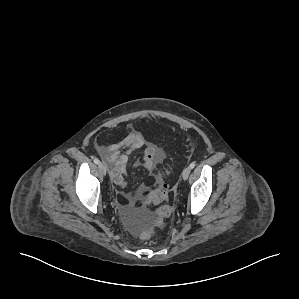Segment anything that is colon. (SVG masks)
Segmentation results:
<instances>
[{"instance_id": "5ec220e1", "label": "colon", "mask_w": 299, "mask_h": 299, "mask_svg": "<svg viewBox=\"0 0 299 299\" xmlns=\"http://www.w3.org/2000/svg\"><path fill=\"white\" fill-rule=\"evenodd\" d=\"M163 175L158 174L157 180L160 183V187L153 190L147 196L145 203H156L161 204L164 203L158 210H157V219L150 227L144 229L140 236L144 239L150 238L155 232L163 225L165 218H167L171 212V207L167 203L169 200V195L167 191V185L163 183Z\"/></svg>"}]
</instances>
